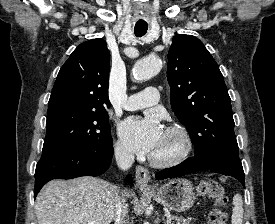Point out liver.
Segmentation results:
<instances>
[{
  "label": "liver",
  "instance_id": "liver-1",
  "mask_svg": "<svg viewBox=\"0 0 275 224\" xmlns=\"http://www.w3.org/2000/svg\"><path fill=\"white\" fill-rule=\"evenodd\" d=\"M118 193L115 185L94 177L52 180L36 198L38 224H110Z\"/></svg>",
  "mask_w": 275,
  "mask_h": 224
}]
</instances>
